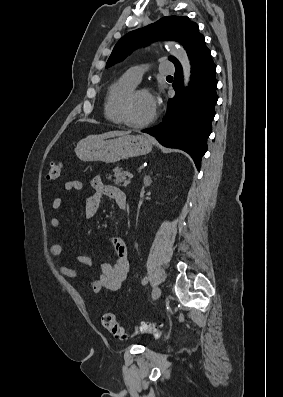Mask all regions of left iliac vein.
<instances>
[{"instance_id": "1", "label": "left iliac vein", "mask_w": 283, "mask_h": 397, "mask_svg": "<svg viewBox=\"0 0 283 397\" xmlns=\"http://www.w3.org/2000/svg\"><path fill=\"white\" fill-rule=\"evenodd\" d=\"M161 293H162L161 289H160L159 287H156V288L153 290L152 299H153V300H157V299L161 296Z\"/></svg>"}]
</instances>
